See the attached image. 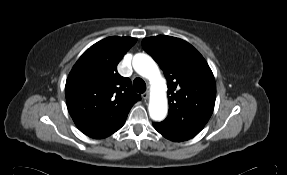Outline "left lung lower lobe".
Instances as JSON below:
<instances>
[{"label": "left lung lower lobe", "instance_id": "1", "mask_svg": "<svg viewBox=\"0 0 287 175\" xmlns=\"http://www.w3.org/2000/svg\"><path fill=\"white\" fill-rule=\"evenodd\" d=\"M153 126L160 134H162L165 138H167L171 141L181 142V141L188 140L187 137L169 129L168 127H166L162 123H154Z\"/></svg>", "mask_w": 287, "mask_h": 175}]
</instances>
